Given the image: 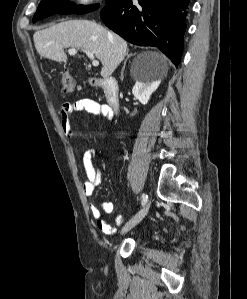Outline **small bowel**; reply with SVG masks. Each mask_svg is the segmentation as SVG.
Masks as SVG:
<instances>
[{"instance_id": "1", "label": "small bowel", "mask_w": 247, "mask_h": 299, "mask_svg": "<svg viewBox=\"0 0 247 299\" xmlns=\"http://www.w3.org/2000/svg\"><path fill=\"white\" fill-rule=\"evenodd\" d=\"M87 112L92 115L100 116L106 119L112 117V111L108 105L99 103L89 98H82L71 102L63 103L61 107V126L67 139L73 140L75 132L71 126V115L74 112ZM95 151L89 150L85 152L83 156V166L86 173V181L83 184V193L85 196H92L95 188L101 185L103 179L100 171L94 164ZM114 211V204L111 201H104L101 203V209L95 205H90V213L95 220L96 227L101 232L112 235L115 233L116 228L111 226L102 212L110 214ZM125 221L123 215L118 214L115 217V223L117 225L122 224Z\"/></svg>"}]
</instances>
